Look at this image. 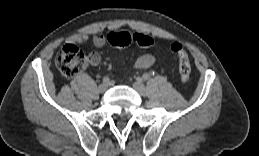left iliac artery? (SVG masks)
<instances>
[{
  "mask_svg": "<svg viewBox=\"0 0 259 156\" xmlns=\"http://www.w3.org/2000/svg\"><path fill=\"white\" fill-rule=\"evenodd\" d=\"M142 78H143L144 80H148V79L150 78V75L147 74V73H145V74H143Z\"/></svg>",
  "mask_w": 259,
  "mask_h": 156,
  "instance_id": "obj_1",
  "label": "left iliac artery"
}]
</instances>
